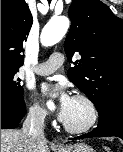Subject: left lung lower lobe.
<instances>
[{
    "mask_svg": "<svg viewBox=\"0 0 123 152\" xmlns=\"http://www.w3.org/2000/svg\"><path fill=\"white\" fill-rule=\"evenodd\" d=\"M99 124L93 131L74 139L117 136L123 139V99L107 101L99 109Z\"/></svg>",
    "mask_w": 123,
    "mask_h": 152,
    "instance_id": "left-lung-lower-lobe-1",
    "label": "left lung lower lobe"
}]
</instances>
